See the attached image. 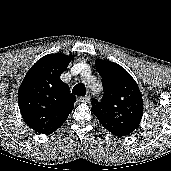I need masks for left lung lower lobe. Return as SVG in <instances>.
Masks as SVG:
<instances>
[{"mask_svg":"<svg viewBox=\"0 0 171 171\" xmlns=\"http://www.w3.org/2000/svg\"><path fill=\"white\" fill-rule=\"evenodd\" d=\"M113 135L117 136V137H121V136H126L128 134H123V133H120V132H111Z\"/></svg>","mask_w":171,"mask_h":171,"instance_id":"1","label":"left lung lower lobe"}]
</instances>
